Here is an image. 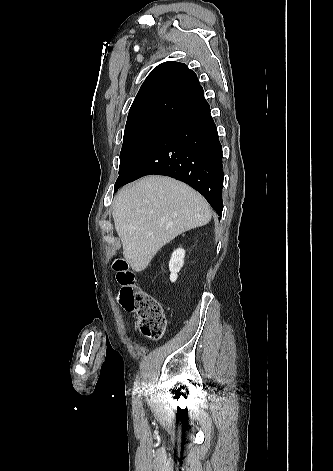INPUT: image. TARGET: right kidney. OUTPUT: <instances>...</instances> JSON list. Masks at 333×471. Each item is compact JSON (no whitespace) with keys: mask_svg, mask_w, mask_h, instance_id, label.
Wrapping results in <instances>:
<instances>
[{"mask_svg":"<svg viewBox=\"0 0 333 471\" xmlns=\"http://www.w3.org/2000/svg\"><path fill=\"white\" fill-rule=\"evenodd\" d=\"M185 258V250L182 248L176 249L171 256L169 262V270H170V280L171 282H175L177 280V273L180 271L184 264Z\"/></svg>","mask_w":333,"mask_h":471,"instance_id":"right-kidney-1","label":"right kidney"}]
</instances>
